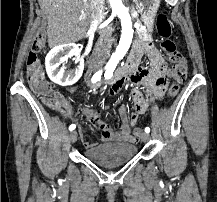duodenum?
Here are the masks:
<instances>
[{
    "instance_id": "duodenum-1",
    "label": "duodenum",
    "mask_w": 217,
    "mask_h": 202,
    "mask_svg": "<svg viewBox=\"0 0 217 202\" xmlns=\"http://www.w3.org/2000/svg\"><path fill=\"white\" fill-rule=\"evenodd\" d=\"M139 59H140L139 52L137 50L133 49L131 51L128 59L124 63V65H122L120 68H118L113 75H110L107 78L105 77V79L103 81H99V82L95 83L93 86L95 88H98V87L104 86V85L112 86L115 83L130 77L134 73Z\"/></svg>"
}]
</instances>
